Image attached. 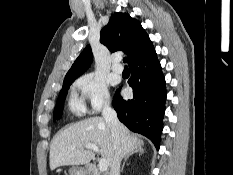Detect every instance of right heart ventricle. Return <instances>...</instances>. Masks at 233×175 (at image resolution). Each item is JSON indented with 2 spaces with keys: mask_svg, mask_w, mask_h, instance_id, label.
Wrapping results in <instances>:
<instances>
[{
  "mask_svg": "<svg viewBox=\"0 0 233 175\" xmlns=\"http://www.w3.org/2000/svg\"><path fill=\"white\" fill-rule=\"evenodd\" d=\"M68 105L70 111L77 116H81L85 112L84 105L75 93L71 94Z\"/></svg>",
  "mask_w": 233,
  "mask_h": 175,
  "instance_id": "obj_1",
  "label": "right heart ventricle"
}]
</instances>
